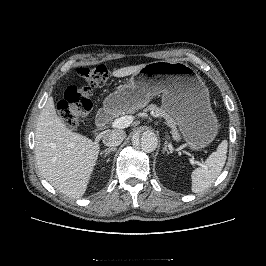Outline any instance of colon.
Instances as JSON below:
<instances>
[{
    "instance_id": "obj_1",
    "label": "colon",
    "mask_w": 266,
    "mask_h": 266,
    "mask_svg": "<svg viewBox=\"0 0 266 266\" xmlns=\"http://www.w3.org/2000/svg\"><path fill=\"white\" fill-rule=\"evenodd\" d=\"M109 70L104 65L79 67L67 86L58 112L64 124L70 128L78 125L79 118L92 109L93 89L104 87L109 80Z\"/></svg>"
}]
</instances>
